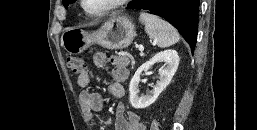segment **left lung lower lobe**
<instances>
[{"label": "left lung lower lobe", "instance_id": "left-lung-lower-lobe-1", "mask_svg": "<svg viewBox=\"0 0 257 130\" xmlns=\"http://www.w3.org/2000/svg\"><path fill=\"white\" fill-rule=\"evenodd\" d=\"M199 5L200 0H140L128 8L148 10L164 18L178 29L194 50L198 32Z\"/></svg>", "mask_w": 257, "mask_h": 130}]
</instances>
